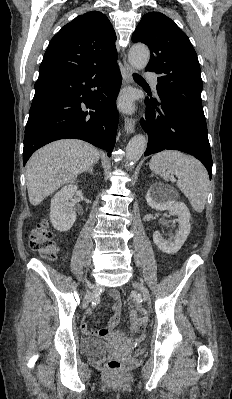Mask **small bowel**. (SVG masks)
Returning <instances> with one entry per match:
<instances>
[{
    "label": "small bowel",
    "mask_w": 232,
    "mask_h": 399,
    "mask_svg": "<svg viewBox=\"0 0 232 399\" xmlns=\"http://www.w3.org/2000/svg\"><path fill=\"white\" fill-rule=\"evenodd\" d=\"M117 296L118 295L116 293H114V292H110L109 293V297L110 298H117ZM121 311H122V308H121L120 304L114 305V307H113V318L105 326L94 327V326L89 325L86 322H79L77 324V326H78L79 329H81L83 331H86V332L100 333V334L109 333L115 328V326H116V324L118 322V319H119V317L121 315Z\"/></svg>",
    "instance_id": "c3829d8e"
}]
</instances>
